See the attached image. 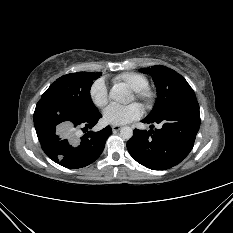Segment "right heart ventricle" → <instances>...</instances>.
<instances>
[{
  "instance_id": "right-heart-ventricle-1",
  "label": "right heart ventricle",
  "mask_w": 233,
  "mask_h": 233,
  "mask_svg": "<svg viewBox=\"0 0 233 233\" xmlns=\"http://www.w3.org/2000/svg\"><path fill=\"white\" fill-rule=\"evenodd\" d=\"M114 82H122L132 90H138L148 86V79L145 75L137 72H124L113 78Z\"/></svg>"
}]
</instances>
